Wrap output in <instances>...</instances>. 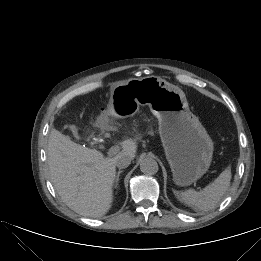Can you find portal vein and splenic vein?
Instances as JSON below:
<instances>
[{"label": "portal vein and splenic vein", "instance_id": "obj_1", "mask_svg": "<svg viewBox=\"0 0 261 261\" xmlns=\"http://www.w3.org/2000/svg\"><path fill=\"white\" fill-rule=\"evenodd\" d=\"M119 151V147L118 146H115V147H111L108 152H107V156L111 157V156H114L118 153Z\"/></svg>", "mask_w": 261, "mask_h": 261}]
</instances>
